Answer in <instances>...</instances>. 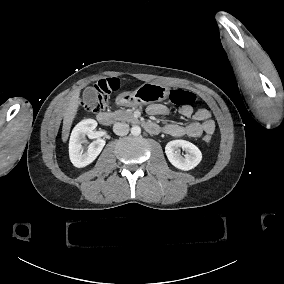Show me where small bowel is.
Here are the masks:
<instances>
[{"mask_svg": "<svg viewBox=\"0 0 284 284\" xmlns=\"http://www.w3.org/2000/svg\"><path fill=\"white\" fill-rule=\"evenodd\" d=\"M170 110L163 104H152L148 106L147 113L151 116L167 115ZM178 113L183 118H191L193 121L188 124L167 123L160 126L156 122H148L145 128L150 133L163 131L173 137H191L197 138L203 134L212 135L215 131V122L211 119V113L206 108L194 110L191 106H182Z\"/></svg>", "mask_w": 284, "mask_h": 284, "instance_id": "small-bowel-1", "label": "small bowel"}]
</instances>
